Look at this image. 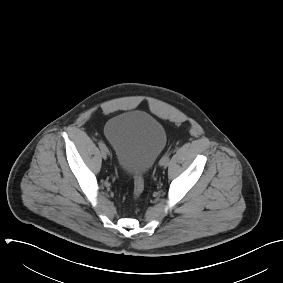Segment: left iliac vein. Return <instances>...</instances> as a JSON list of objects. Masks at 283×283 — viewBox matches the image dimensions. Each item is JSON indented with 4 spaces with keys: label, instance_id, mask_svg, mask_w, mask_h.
<instances>
[{
    "label": "left iliac vein",
    "instance_id": "obj_1",
    "mask_svg": "<svg viewBox=\"0 0 283 283\" xmlns=\"http://www.w3.org/2000/svg\"><path fill=\"white\" fill-rule=\"evenodd\" d=\"M160 166L166 167L168 165V163L166 162H159Z\"/></svg>",
    "mask_w": 283,
    "mask_h": 283
}]
</instances>
